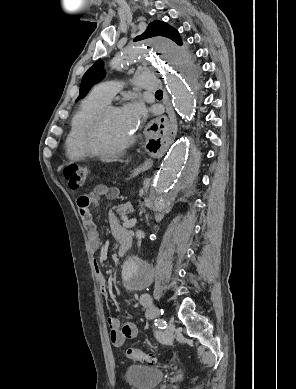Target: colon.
Masks as SVG:
<instances>
[{
  "label": "colon",
  "mask_w": 296,
  "mask_h": 389,
  "mask_svg": "<svg viewBox=\"0 0 296 389\" xmlns=\"http://www.w3.org/2000/svg\"><path fill=\"white\" fill-rule=\"evenodd\" d=\"M64 177L72 189H80L88 177V169L85 166L71 165L65 168ZM125 354L128 358L150 365L155 364L157 358L151 353H146L137 348H127Z\"/></svg>",
  "instance_id": "obj_1"
}]
</instances>
